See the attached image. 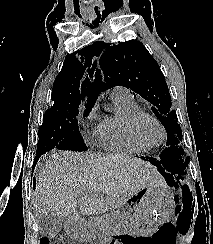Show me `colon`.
<instances>
[{
  "mask_svg": "<svg viewBox=\"0 0 213 244\" xmlns=\"http://www.w3.org/2000/svg\"><path fill=\"white\" fill-rule=\"evenodd\" d=\"M41 244H50V241H49L48 238L43 237V238L41 239Z\"/></svg>",
  "mask_w": 213,
  "mask_h": 244,
  "instance_id": "colon-1",
  "label": "colon"
}]
</instances>
